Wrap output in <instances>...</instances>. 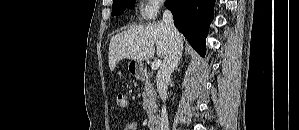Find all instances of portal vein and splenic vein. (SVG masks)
Returning a JSON list of instances; mask_svg holds the SVG:
<instances>
[{
	"mask_svg": "<svg viewBox=\"0 0 299 130\" xmlns=\"http://www.w3.org/2000/svg\"><path fill=\"white\" fill-rule=\"evenodd\" d=\"M161 63V60H155L151 65L152 70H157L161 66Z\"/></svg>",
	"mask_w": 299,
	"mask_h": 130,
	"instance_id": "portal-vein-and-splenic-vein-1",
	"label": "portal vein and splenic vein"
}]
</instances>
